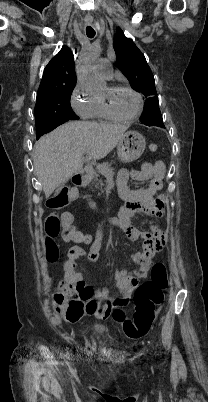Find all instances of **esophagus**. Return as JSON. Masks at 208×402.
I'll return each instance as SVG.
<instances>
[{
    "label": "esophagus",
    "instance_id": "34e87169",
    "mask_svg": "<svg viewBox=\"0 0 208 402\" xmlns=\"http://www.w3.org/2000/svg\"><path fill=\"white\" fill-rule=\"evenodd\" d=\"M87 22H88V23H91V22H92V18H91V17L87 18Z\"/></svg>",
    "mask_w": 208,
    "mask_h": 402
}]
</instances>
